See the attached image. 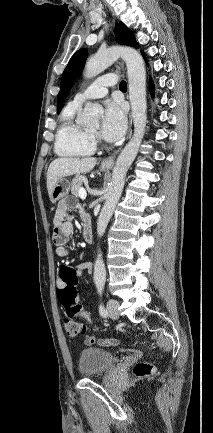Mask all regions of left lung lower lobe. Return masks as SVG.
<instances>
[{
	"mask_svg": "<svg viewBox=\"0 0 213 433\" xmlns=\"http://www.w3.org/2000/svg\"><path fill=\"white\" fill-rule=\"evenodd\" d=\"M151 92H153V87H151Z\"/></svg>",
	"mask_w": 213,
	"mask_h": 433,
	"instance_id": "0a47b994",
	"label": "left lung lower lobe"
}]
</instances>
